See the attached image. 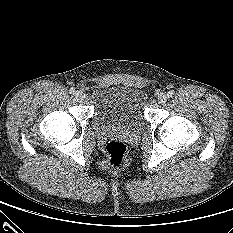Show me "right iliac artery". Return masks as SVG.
Returning <instances> with one entry per match:
<instances>
[{"label":"right iliac artery","mask_w":233,"mask_h":233,"mask_svg":"<svg viewBox=\"0 0 233 233\" xmlns=\"http://www.w3.org/2000/svg\"><path fill=\"white\" fill-rule=\"evenodd\" d=\"M69 92H70L71 94H74V93H75V89H74V88H70V89H69Z\"/></svg>","instance_id":"1"}]
</instances>
